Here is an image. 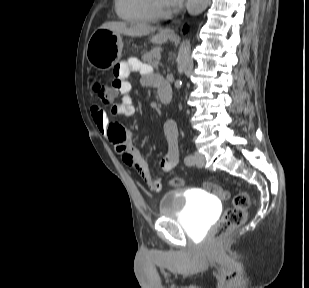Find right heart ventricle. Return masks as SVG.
Here are the masks:
<instances>
[{
	"label": "right heart ventricle",
	"instance_id": "1",
	"mask_svg": "<svg viewBox=\"0 0 309 288\" xmlns=\"http://www.w3.org/2000/svg\"><path fill=\"white\" fill-rule=\"evenodd\" d=\"M120 18L132 23H149L156 19L149 0H114Z\"/></svg>",
	"mask_w": 309,
	"mask_h": 288
}]
</instances>
